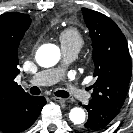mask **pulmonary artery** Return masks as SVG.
<instances>
[{
    "mask_svg": "<svg viewBox=\"0 0 133 133\" xmlns=\"http://www.w3.org/2000/svg\"><path fill=\"white\" fill-rule=\"evenodd\" d=\"M64 63L58 67L42 70L36 73L31 79L30 82L36 85H51L59 81L64 80V75L66 71V64L73 61L78 51L74 49H62ZM65 90L72 97L78 100L87 101L90 98V94L83 91L82 89L76 87L72 83H65Z\"/></svg>",
    "mask_w": 133,
    "mask_h": 133,
    "instance_id": "e3ab8cb5",
    "label": "pulmonary artery"
}]
</instances>
